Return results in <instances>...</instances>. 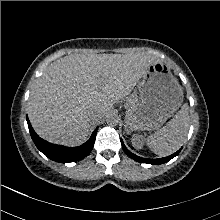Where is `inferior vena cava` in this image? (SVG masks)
<instances>
[{"label": "inferior vena cava", "instance_id": "1", "mask_svg": "<svg viewBox=\"0 0 220 220\" xmlns=\"http://www.w3.org/2000/svg\"><path fill=\"white\" fill-rule=\"evenodd\" d=\"M90 117H91V119H93V120H99V119H101L103 116H102L101 111L95 110V111H92V112H91Z\"/></svg>", "mask_w": 220, "mask_h": 220}]
</instances>
